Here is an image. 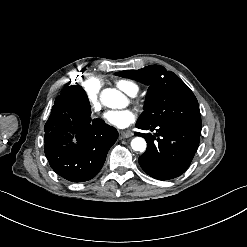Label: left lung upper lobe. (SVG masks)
<instances>
[{
	"mask_svg": "<svg viewBox=\"0 0 247 247\" xmlns=\"http://www.w3.org/2000/svg\"><path fill=\"white\" fill-rule=\"evenodd\" d=\"M149 85L144 112L137 126L156 127L160 124H183L201 130L198 101L187 85L163 66L150 65L139 70L115 73Z\"/></svg>",
	"mask_w": 247,
	"mask_h": 247,
	"instance_id": "1",
	"label": "left lung upper lobe"
}]
</instances>
